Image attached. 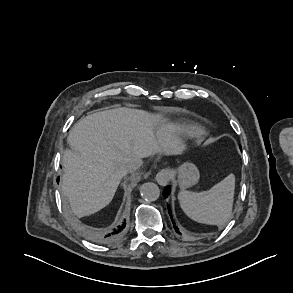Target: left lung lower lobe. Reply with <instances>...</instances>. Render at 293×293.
<instances>
[{
	"label": "left lung lower lobe",
	"mask_w": 293,
	"mask_h": 293,
	"mask_svg": "<svg viewBox=\"0 0 293 293\" xmlns=\"http://www.w3.org/2000/svg\"><path fill=\"white\" fill-rule=\"evenodd\" d=\"M169 194H170V187H166V188L164 189V191H163V195H164V197L166 198ZM167 207H168V212H169L170 218L172 219V214H171V211H170V206L167 205ZM172 223H173V227H174L175 231H176L178 234H180L179 229L177 228V226L175 225V222H174L173 220H172Z\"/></svg>",
	"instance_id": "left-lung-lower-lobe-1"
}]
</instances>
